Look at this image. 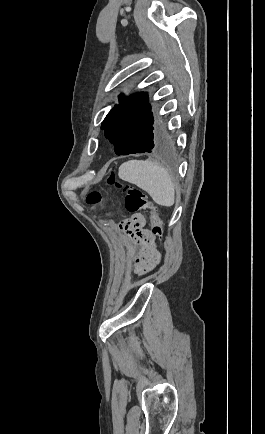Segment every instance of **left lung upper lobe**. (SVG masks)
I'll return each mask as SVG.
<instances>
[{"label": "left lung upper lobe", "mask_w": 265, "mask_h": 434, "mask_svg": "<svg viewBox=\"0 0 265 434\" xmlns=\"http://www.w3.org/2000/svg\"><path fill=\"white\" fill-rule=\"evenodd\" d=\"M150 109L146 93L119 98V105L112 108L101 126L105 130V136L114 144V149L153 127Z\"/></svg>", "instance_id": "5c2ea615"}]
</instances>
